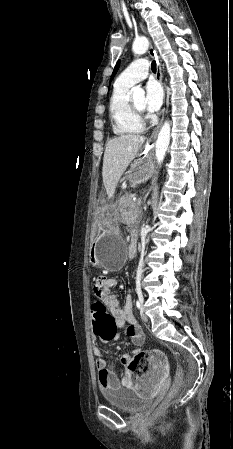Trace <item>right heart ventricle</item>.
Listing matches in <instances>:
<instances>
[{
	"label": "right heart ventricle",
	"instance_id": "right-heart-ventricle-1",
	"mask_svg": "<svg viewBox=\"0 0 233 449\" xmlns=\"http://www.w3.org/2000/svg\"><path fill=\"white\" fill-rule=\"evenodd\" d=\"M129 86L115 82L109 102V114L113 132L118 136L140 134L145 123L137 118L129 106Z\"/></svg>",
	"mask_w": 233,
	"mask_h": 449
}]
</instances>
